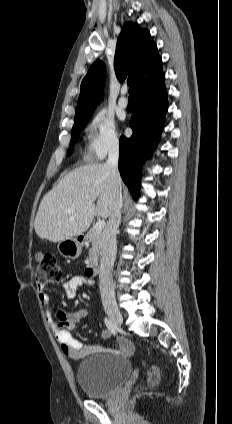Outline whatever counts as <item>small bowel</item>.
I'll return each mask as SVG.
<instances>
[{"label":"small bowel","instance_id":"small-bowel-1","mask_svg":"<svg viewBox=\"0 0 232 424\" xmlns=\"http://www.w3.org/2000/svg\"><path fill=\"white\" fill-rule=\"evenodd\" d=\"M94 281L87 275H75L63 283L62 288L67 299H73L76 291L83 285H93ZM39 300L45 309V315L52 326L54 336L58 341L61 351L71 359H83L90 355L110 353L115 355L129 356L133 353V345L125 337H119L118 348H109L102 344L84 345L81 341L71 335L77 324L87 316L88 310L81 308L74 311L57 310L53 315L51 312L52 297L47 292L44 284L37 285ZM102 339H108L111 331L105 328L101 331Z\"/></svg>","mask_w":232,"mask_h":424}]
</instances>
